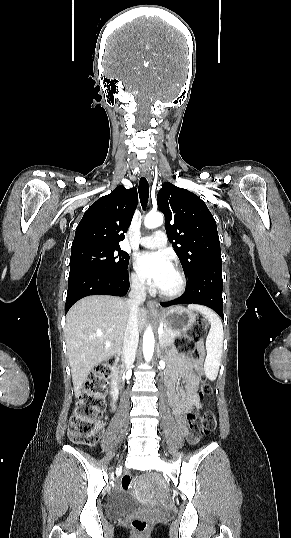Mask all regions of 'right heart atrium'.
<instances>
[{
	"label": "right heart atrium",
	"instance_id": "1",
	"mask_svg": "<svg viewBox=\"0 0 291 538\" xmlns=\"http://www.w3.org/2000/svg\"><path fill=\"white\" fill-rule=\"evenodd\" d=\"M130 280H131L132 286L136 290H144L145 289V282L137 273L132 272L131 275H130Z\"/></svg>",
	"mask_w": 291,
	"mask_h": 538
}]
</instances>
